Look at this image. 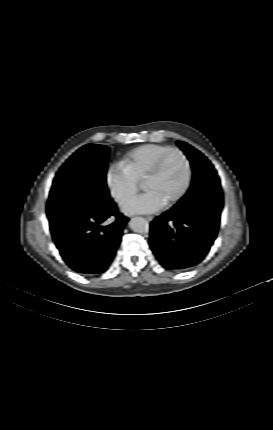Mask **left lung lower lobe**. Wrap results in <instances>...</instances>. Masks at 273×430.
<instances>
[{"instance_id": "obj_1", "label": "left lung lower lobe", "mask_w": 273, "mask_h": 430, "mask_svg": "<svg viewBox=\"0 0 273 430\" xmlns=\"http://www.w3.org/2000/svg\"><path fill=\"white\" fill-rule=\"evenodd\" d=\"M222 207L221 190L204 188L151 222L149 244L162 266L182 270L200 263L217 236Z\"/></svg>"}]
</instances>
